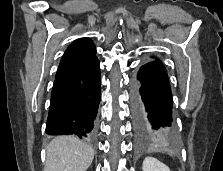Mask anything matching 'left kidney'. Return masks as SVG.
<instances>
[{"instance_id":"obj_1","label":"left kidney","mask_w":223,"mask_h":171,"mask_svg":"<svg viewBox=\"0 0 223 171\" xmlns=\"http://www.w3.org/2000/svg\"><path fill=\"white\" fill-rule=\"evenodd\" d=\"M143 171H171L168 166L161 163L159 160L153 157H146L143 161Z\"/></svg>"}]
</instances>
